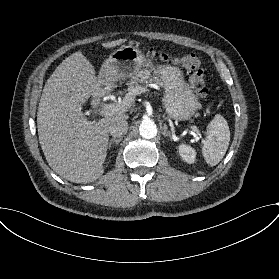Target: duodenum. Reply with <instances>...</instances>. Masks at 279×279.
Wrapping results in <instances>:
<instances>
[{
    "label": "duodenum",
    "mask_w": 279,
    "mask_h": 279,
    "mask_svg": "<svg viewBox=\"0 0 279 279\" xmlns=\"http://www.w3.org/2000/svg\"><path fill=\"white\" fill-rule=\"evenodd\" d=\"M103 93H104L103 86L101 84H98L93 91L92 101H93L94 106L99 105L100 100L103 96Z\"/></svg>",
    "instance_id": "obj_1"
}]
</instances>
